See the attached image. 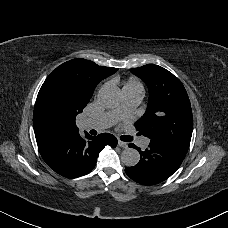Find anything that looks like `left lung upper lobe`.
Wrapping results in <instances>:
<instances>
[{"label": "left lung upper lobe", "instance_id": "5c2ea615", "mask_svg": "<svg viewBox=\"0 0 228 228\" xmlns=\"http://www.w3.org/2000/svg\"><path fill=\"white\" fill-rule=\"evenodd\" d=\"M131 72L149 89L146 112L134 124L138 134L189 148L193 117L189 97L180 80L154 64L132 68Z\"/></svg>", "mask_w": 228, "mask_h": 228}]
</instances>
